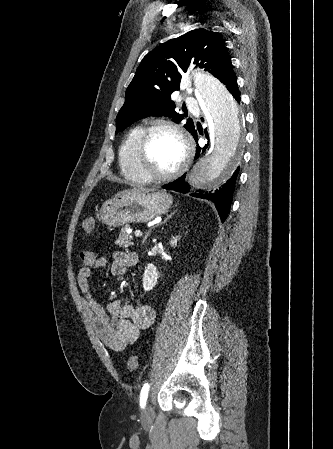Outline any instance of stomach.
I'll return each instance as SVG.
<instances>
[{
	"instance_id": "stomach-1",
	"label": "stomach",
	"mask_w": 333,
	"mask_h": 449,
	"mask_svg": "<svg viewBox=\"0 0 333 449\" xmlns=\"http://www.w3.org/2000/svg\"><path fill=\"white\" fill-rule=\"evenodd\" d=\"M172 205V198L165 192L128 191L106 201L97 218L108 226L121 227L129 223L149 222L164 214Z\"/></svg>"
}]
</instances>
